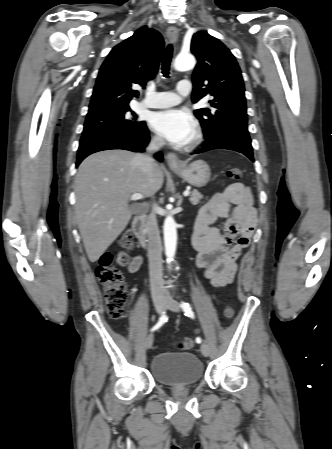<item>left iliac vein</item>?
Wrapping results in <instances>:
<instances>
[{"label":"left iliac vein","mask_w":332,"mask_h":449,"mask_svg":"<svg viewBox=\"0 0 332 449\" xmlns=\"http://www.w3.org/2000/svg\"><path fill=\"white\" fill-rule=\"evenodd\" d=\"M165 305H166V307H167L169 310H171V311H173V312H179V311H180V304H179L176 300L172 299V298L169 297V296L167 297V299H166V301H165ZM200 349H201V353H202L205 357L209 356V354H210V348H209L208 344L202 343Z\"/></svg>","instance_id":"1"}]
</instances>
